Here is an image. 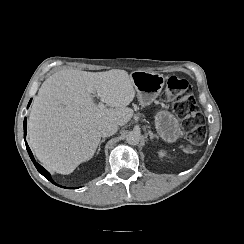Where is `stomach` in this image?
Here are the masks:
<instances>
[{
	"instance_id": "1",
	"label": "stomach",
	"mask_w": 244,
	"mask_h": 244,
	"mask_svg": "<svg viewBox=\"0 0 244 244\" xmlns=\"http://www.w3.org/2000/svg\"><path fill=\"white\" fill-rule=\"evenodd\" d=\"M130 78L142 106L150 105L159 96L165 84L163 74L144 70L131 72ZM155 126L160 137L169 143L175 142L181 135L177 118L168 111L157 112Z\"/></svg>"
}]
</instances>
